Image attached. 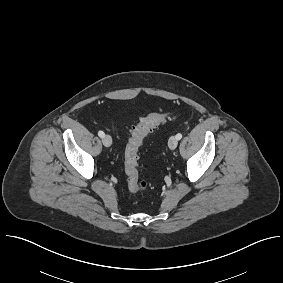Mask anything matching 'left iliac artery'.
<instances>
[{"mask_svg":"<svg viewBox=\"0 0 283 283\" xmlns=\"http://www.w3.org/2000/svg\"><path fill=\"white\" fill-rule=\"evenodd\" d=\"M176 138H177L178 140H180V139L182 138V134H181V133H178V134L176 135Z\"/></svg>","mask_w":283,"mask_h":283,"instance_id":"left-iliac-artery-1","label":"left iliac artery"}]
</instances>
